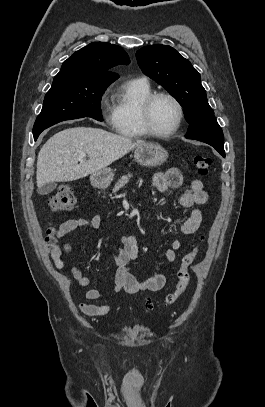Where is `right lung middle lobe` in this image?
<instances>
[{
	"mask_svg": "<svg viewBox=\"0 0 265 407\" xmlns=\"http://www.w3.org/2000/svg\"><path fill=\"white\" fill-rule=\"evenodd\" d=\"M110 84L55 76L34 124V137L39 136L44 129L65 120L91 117L103 121L101 97Z\"/></svg>",
	"mask_w": 265,
	"mask_h": 407,
	"instance_id": "obj_1",
	"label": "right lung middle lobe"
}]
</instances>
